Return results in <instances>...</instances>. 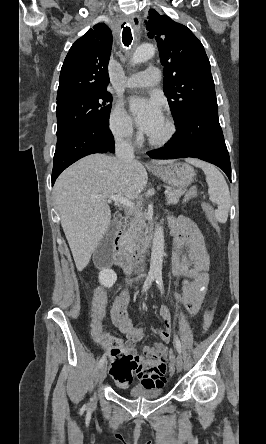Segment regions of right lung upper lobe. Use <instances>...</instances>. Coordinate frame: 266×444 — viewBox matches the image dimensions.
<instances>
[{
    "mask_svg": "<svg viewBox=\"0 0 266 444\" xmlns=\"http://www.w3.org/2000/svg\"><path fill=\"white\" fill-rule=\"evenodd\" d=\"M112 34L104 24L89 29L70 48L60 72L57 99L106 89Z\"/></svg>",
    "mask_w": 266,
    "mask_h": 444,
    "instance_id": "obj_1",
    "label": "right lung upper lobe"
}]
</instances>
